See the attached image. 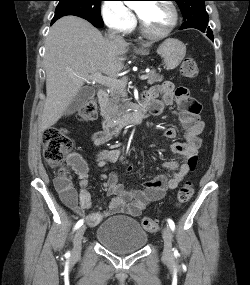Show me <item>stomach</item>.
Here are the masks:
<instances>
[{
	"mask_svg": "<svg viewBox=\"0 0 250 285\" xmlns=\"http://www.w3.org/2000/svg\"><path fill=\"white\" fill-rule=\"evenodd\" d=\"M142 55L149 52L141 51ZM157 53L163 58L167 70H173L182 62L186 55V46L178 39L168 38L157 49Z\"/></svg>",
	"mask_w": 250,
	"mask_h": 285,
	"instance_id": "0dacf381",
	"label": "stomach"
}]
</instances>
